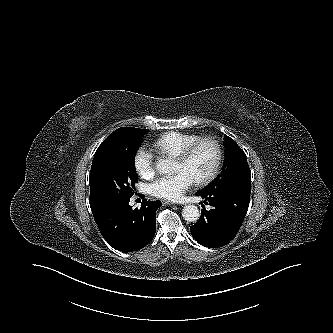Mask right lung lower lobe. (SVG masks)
Masks as SVG:
<instances>
[{
    "label": "right lung lower lobe",
    "mask_w": 333,
    "mask_h": 333,
    "mask_svg": "<svg viewBox=\"0 0 333 333\" xmlns=\"http://www.w3.org/2000/svg\"><path fill=\"white\" fill-rule=\"evenodd\" d=\"M130 197L115 200L93 211L105 240L114 249L131 252L145 247L154 237L156 211L160 201L143 200L140 209H132Z\"/></svg>",
    "instance_id": "obj_1"
}]
</instances>
